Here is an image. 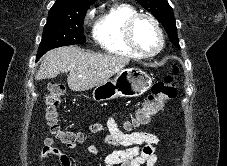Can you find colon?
<instances>
[{
  "instance_id": "1",
  "label": "colon",
  "mask_w": 227,
  "mask_h": 166,
  "mask_svg": "<svg viewBox=\"0 0 227 166\" xmlns=\"http://www.w3.org/2000/svg\"><path fill=\"white\" fill-rule=\"evenodd\" d=\"M176 69L173 70V73ZM65 94L64 85L52 82L47 87L45 98L44 121L49 129L61 143L72 146L83 142L84 135L63 129L60 125L59 109L62 105V98ZM177 96V87L173 75H167L163 81L153 85L151 93L144 102L136 107L128 127H137L148 124L151 119L164 111L166 104L172 102Z\"/></svg>"
}]
</instances>
